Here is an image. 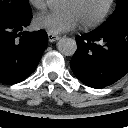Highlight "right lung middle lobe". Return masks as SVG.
Masks as SVG:
<instances>
[{
	"label": "right lung middle lobe",
	"instance_id": "dd1d6c3e",
	"mask_svg": "<svg viewBox=\"0 0 128 128\" xmlns=\"http://www.w3.org/2000/svg\"><path fill=\"white\" fill-rule=\"evenodd\" d=\"M30 17L29 0H0V21L17 22Z\"/></svg>",
	"mask_w": 128,
	"mask_h": 128
}]
</instances>
